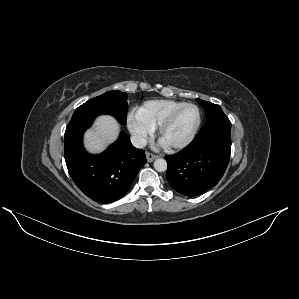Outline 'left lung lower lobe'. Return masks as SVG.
<instances>
[{
	"mask_svg": "<svg viewBox=\"0 0 299 299\" xmlns=\"http://www.w3.org/2000/svg\"><path fill=\"white\" fill-rule=\"evenodd\" d=\"M231 151V122L207 121L194 140L180 152L166 156V177L177 192L193 197L214 187L222 178Z\"/></svg>",
	"mask_w": 299,
	"mask_h": 299,
	"instance_id": "left-lung-lower-lobe-1",
	"label": "left lung lower lobe"
}]
</instances>
